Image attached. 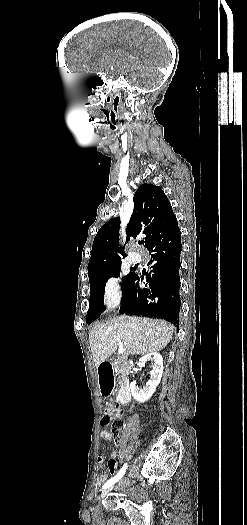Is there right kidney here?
I'll list each match as a JSON object with an SVG mask.
<instances>
[{
	"instance_id": "ca27d5eb",
	"label": "right kidney",
	"mask_w": 247,
	"mask_h": 525,
	"mask_svg": "<svg viewBox=\"0 0 247 525\" xmlns=\"http://www.w3.org/2000/svg\"><path fill=\"white\" fill-rule=\"evenodd\" d=\"M146 363H150L152 371H150V379L147 381L143 389H139L137 383H130L131 395L137 403H145L151 399L153 393L158 387L163 375V359L159 353H148L139 359L138 367H145Z\"/></svg>"
}]
</instances>
